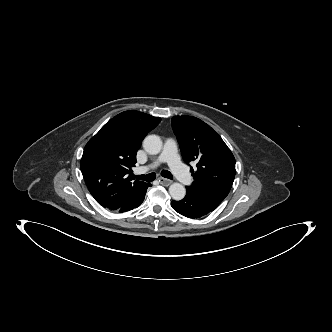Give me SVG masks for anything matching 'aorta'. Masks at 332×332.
<instances>
[{
    "instance_id": "762f6f07",
    "label": "aorta",
    "mask_w": 332,
    "mask_h": 332,
    "mask_svg": "<svg viewBox=\"0 0 332 332\" xmlns=\"http://www.w3.org/2000/svg\"><path fill=\"white\" fill-rule=\"evenodd\" d=\"M162 140L157 135H148L143 140L144 150L151 155H156L162 150ZM169 193L174 200H181L185 197L186 189L180 183H173L169 187Z\"/></svg>"
}]
</instances>
